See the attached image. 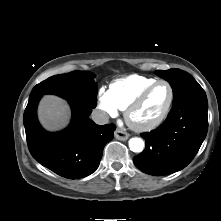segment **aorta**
<instances>
[{"instance_id": "obj_1", "label": "aorta", "mask_w": 221, "mask_h": 221, "mask_svg": "<svg viewBox=\"0 0 221 221\" xmlns=\"http://www.w3.org/2000/svg\"><path fill=\"white\" fill-rule=\"evenodd\" d=\"M129 148L133 152H142L144 149V142L141 138H131L129 140Z\"/></svg>"}]
</instances>
